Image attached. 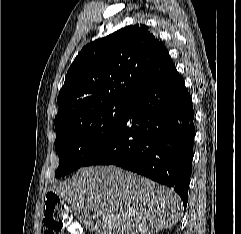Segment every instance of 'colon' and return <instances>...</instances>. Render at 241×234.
<instances>
[{
    "label": "colon",
    "mask_w": 241,
    "mask_h": 234,
    "mask_svg": "<svg viewBox=\"0 0 241 234\" xmlns=\"http://www.w3.org/2000/svg\"><path fill=\"white\" fill-rule=\"evenodd\" d=\"M44 223L50 232L67 229L69 234H81L80 226L72 221V215L67 205L53 193L46 196Z\"/></svg>",
    "instance_id": "colon-1"
}]
</instances>
